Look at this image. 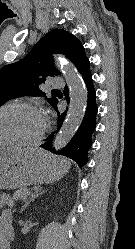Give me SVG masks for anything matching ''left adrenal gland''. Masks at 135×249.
Listing matches in <instances>:
<instances>
[{
    "instance_id": "obj_1",
    "label": "left adrenal gland",
    "mask_w": 135,
    "mask_h": 249,
    "mask_svg": "<svg viewBox=\"0 0 135 249\" xmlns=\"http://www.w3.org/2000/svg\"><path fill=\"white\" fill-rule=\"evenodd\" d=\"M45 192L46 190H43L41 188L37 189L35 193H33L31 197L22 206L20 213H22L32 201H34L36 198H38L40 195L44 194Z\"/></svg>"
}]
</instances>
